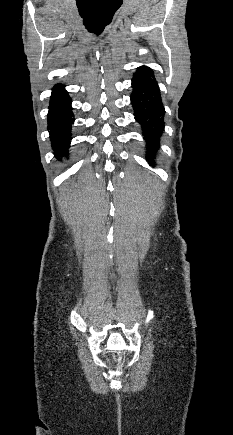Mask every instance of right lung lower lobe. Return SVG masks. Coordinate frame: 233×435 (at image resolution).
Returning a JSON list of instances; mask_svg holds the SVG:
<instances>
[{"instance_id": "98d812e1", "label": "right lung lower lobe", "mask_w": 233, "mask_h": 435, "mask_svg": "<svg viewBox=\"0 0 233 435\" xmlns=\"http://www.w3.org/2000/svg\"><path fill=\"white\" fill-rule=\"evenodd\" d=\"M71 99L64 90V86L57 84L53 87L51 100L49 103L48 129H50V139L55 157L67 156L70 145L71 124L74 123Z\"/></svg>"}]
</instances>
